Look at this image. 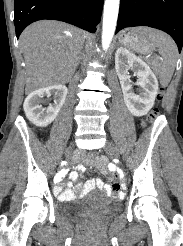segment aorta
Wrapping results in <instances>:
<instances>
[{"instance_id": "762f6f07", "label": "aorta", "mask_w": 183, "mask_h": 246, "mask_svg": "<svg viewBox=\"0 0 183 246\" xmlns=\"http://www.w3.org/2000/svg\"><path fill=\"white\" fill-rule=\"evenodd\" d=\"M119 4L120 0H105L102 28V47L104 50L110 46L115 33Z\"/></svg>"}]
</instances>
